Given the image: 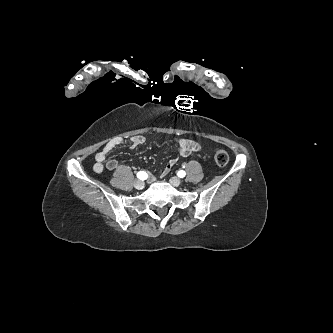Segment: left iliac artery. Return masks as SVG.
<instances>
[{"instance_id": "obj_1", "label": "left iliac artery", "mask_w": 333, "mask_h": 333, "mask_svg": "<svg viewBox=\"0 0 333 333\" xmlns=\"http://www.w3.org/2000/svg\"><path fill=\"white\" fill-rule=\"evenodd\" d=\"M177 175H178L180 178H183V177L186 175V173H185V171L180 170V171H178Z\"/></svg>"}]
</instances>
